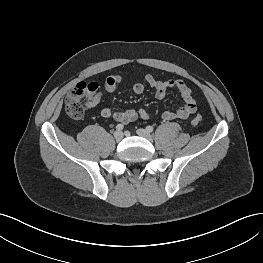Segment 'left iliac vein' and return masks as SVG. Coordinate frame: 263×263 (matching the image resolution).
Returning a JSON list of instances; mask_svg holds the SVG:
<instances>
[{
    "label": "left iliac vein",
    "mask_w": 263,
    "mask_h": 263,
    "mask_svg": "<svg viewBox=\"0 0 263 263\" xmlns=\"http://www.w3.org/2000/svg\"><path fill=\"white\" fill-rule=\"evenodd\" d=\"M136 133H137V135H139L141 137H144V138H146L148 140H151V138H152L150 132H148L146 129H143V128L137 129Z\"/></svg>",
    "instance_id": "4c4485c4"
}]
</instances>
